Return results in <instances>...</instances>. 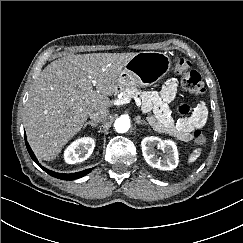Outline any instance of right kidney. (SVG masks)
I'll list each match as a JSON object with an SVG mask.
<instances>
[{"label":"right kidney","instance_id":"1","mask_svg":"<svg viewBox=\"0 0 243 243\" xmlns=\"http://www.w3.org/2000/svg\"><path fill=\"white\" fill-rule=\"evenodd\" d=\"M95 142L90 137H84L74 141L64 151V159L68 164L85 161L94 150Z\"/></svg>","mask_w":243,"mask_h":243}]
</instances>
